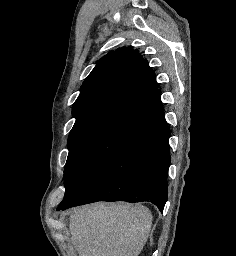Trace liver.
Instances as JSON below:
<instances>
[{"instance_id": "1", "label": "liver", "mask_w": 236, "mask_h": 256, "mask_svg": "<svg viewBox=\"0 0 236 256\" xmlns=\"http://www.w3.org/2000/svg\"><path fill=\"white\" fill-rule=\"evenodd\" d=\"M68 226L79 256H139L148 240L152 214L142 204L96 202L74 208Z\"/></svg>"}]
</instances>
